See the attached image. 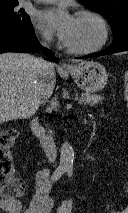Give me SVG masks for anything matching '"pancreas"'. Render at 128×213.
I'll return each mask as SVG.
<instances>
[{
    "label": "pancreas",
    "mask_w": 128,
    "mask_h": 213,
    "mask_svg": "<svg viewBox=\"0 0 128 213\" xmlns=\"http://www.w3.org/2000/svg\"><path fill=\"white\" fill-rule=\"evenodd\" d=\"M81 100L82 103H84L85 105L89 104L90 106H94L98 102H102L104 100V97H102L101 95L85 93L82 94Z\"/></svg>",
    "instance_id": "1"
}]
</instances>
